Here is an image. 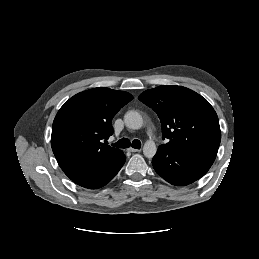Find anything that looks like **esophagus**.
I'll use <instances>...</instances> for the list:
<instances>
[{
  "mask_svg": "<svg viewBox=\"0 0 259 259\" xmlns=\"http://www.w3.org/2000/svg\"><path fill=\"white\" fill-rule=\"evenodd\" d=\"M128 151H130V152H140L141 151V149H135V148H129L128 149Z\"/></svg>",
  "mask_w": 259,
  "mask_h": 259,
  "instance_id": "obj_1",
  "label": "esophagus"
}]
</instances>
